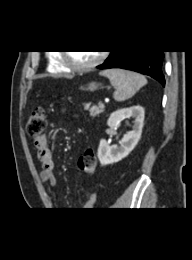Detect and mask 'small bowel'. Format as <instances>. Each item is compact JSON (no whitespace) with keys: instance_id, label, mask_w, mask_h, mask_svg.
<instances>
[{"instance_id":"c3829d8e","label":"small bowel","mask_w":192,"mask_h":260,"mask_svg":"<svg viewBox=\"0 0 192 260\" xmlns=\"http://www.w3.org/2000/svg\"><path fill=\"white\" fill-rule=\"evenodd\" d=\"M37 148V157L41 163L42 170L40 172V180L42 183H47L51 186H56L58 183L57 177L54 173L55 163L52 150L49 146L48 138L43 136L37 142H34ZM97 201V194L91 193L87 200L82 204L81 210L92 209Z\"/></svg>"}]
</instances>
